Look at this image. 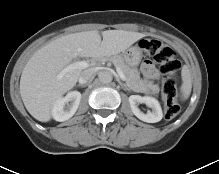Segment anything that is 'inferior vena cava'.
I'll return each instance as SVG.
<instances>
[{"label":"inferior vena cava","instance_id":"1","mask_svg":"<svg viewBox=\"0 0 219 174\" xmlns=\"http://www.w3.org/2000/svg\"><path fill=\"white\" fill-rule=\"evenodd\" d=\"M95 75H96V72L94 69L85 70L81 73L78 81L80 84H85L91 81L95 77Z\"/></svg>","mask_w":219,"mask_h":174}]
</instances>
